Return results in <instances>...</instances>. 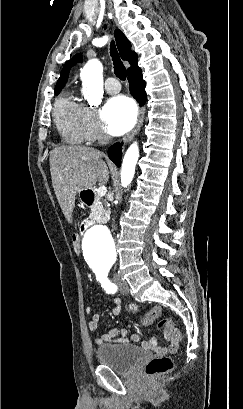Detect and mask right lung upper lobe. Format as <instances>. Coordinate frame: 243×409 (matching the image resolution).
I'll return each mask as SVG.
<instances>
[{
	"mask_svg": "<svg viewBox=\"0 0 243 409\" xmlns=\"http://www.w3.org/2000/svg\"><path fill=\"white\" fill-rule=\"evenodd\" d=\"M115 38H116V43L118 50L120 52V56L123 60L129 61L131 67L128 69V74L132 75L133 73L140 71L141 69L138 67L137 62V54L134 51H131V43L130 41L126 38V36L120 31V30H115ZM80 54L76 55L73 57L71 61L66 62L64 68L62 69L60 73V77L57 81V85L55 87V92H60L62 87L65 85L67 78H68V73L73 64H75L77 61H80ZM128 75V76H129Z\"/></svg>",
	"mask_w": 243,
	"mask_h": 409,
	"instance_id": "1",
	"label": "right lung upper lobe"
}]
</instances>
